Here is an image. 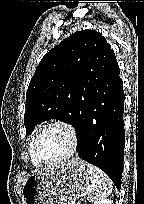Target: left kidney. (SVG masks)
I'll return each mask as SVG.
<instances>
[{"label":"left kidney","mask_w":144,"mask_h":204,"mask_svg":"<svg viewBox=\"0 0 144 204\" xmlns=\"http://www.w3.org/2000/svg\"><path fill=\"white\" fill-rule=\"evenodd\" d=\"M113 201L109 200V199H105V200H102V201H99V202H96L94 204H112Z\"/></svg>","instance_id":"5707ae66"}]
</instances>
